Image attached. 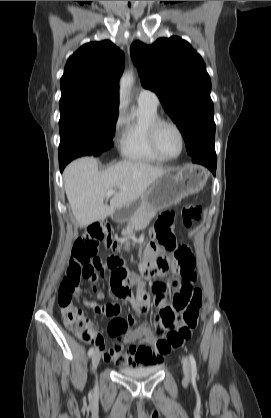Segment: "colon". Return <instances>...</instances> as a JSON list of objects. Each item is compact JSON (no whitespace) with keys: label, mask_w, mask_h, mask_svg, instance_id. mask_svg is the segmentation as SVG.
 Segmentation results:
<instances>
[{"label":"colon","mask_w":271,"mask_h":418,"mask_svg":"<svg viewBox=\"0 0 271 418\" xmlns=\"http://www.w3.org/2000/svg\"><path fill=\"white\" fill-rule=\"evenodd\" d=\"M201 211L198 205H185L182 209L184 226L189 228L194 222L199 221ZM172 224L173 215L166 212L159 218L153 231L154 244L158 249L173 251L179 273L183 277L182 290L173 300L175 311L164 310L161 316L162 325L157 329V334L164 337L157 344L161 350L177 348L189 340L197 326L203 298L200 289L190 286L196 278L195 258L186 246H176L171 230ZM109 232L110 227L106 223L96 222L89 225L84 235L75 242L57 297L60 314L66 327L76 332L83 340L95 342L97 345L102 341L101 336L83 311L74 305L73 300L78 294L77 288L81 280H89L95 275V269L99 266V261L95 258L99 245L104 241L109 245L112 244ZM108 266L111 270L114 268L111 260Z\"/></svg>","instance_id":"1"}]
</instances>
